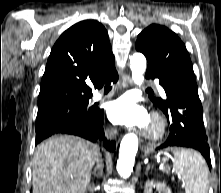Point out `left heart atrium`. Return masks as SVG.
<instances>
[{
  "instance_id": "39dd6f15",
  "label": "left heart atrium",
  "mask_w": 221,
  "mask_h": 193,
  "mask_svg": "<svg viewBox=\"0 0 221 193\" xmlns=\"http://www.w3.org/2000/svg\"><path fill=\"white\" fill-rule=\"evenodd\" d=\"M107 116L115 124L145 127L150 118L146 109L131 95H122L107 105Z\"/></svg>"
}]
</instances>
